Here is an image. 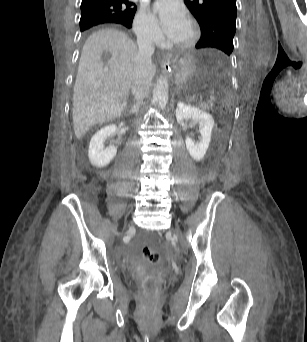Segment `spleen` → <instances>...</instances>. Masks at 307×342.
Returning a JSON list of instances; mask_svg holds the SVG:
<instances>
[{
    "label": "spleen",
    "instance_id": "3e777b00",
    "mask_svg": "<svg viewBox=\"0 0 307 342\" xmlns=\"http://www.w3.org/2000/svg\"><path fill=\"white\" fill-rule=\"evenodd\" d=\"M222 108H223L224 110H227V109L229 108V105H228L227 103H224V104L222 105Z\"/></svg>",
    "mask_w": 307,
    "mask_h": 342
}]
</instances>
